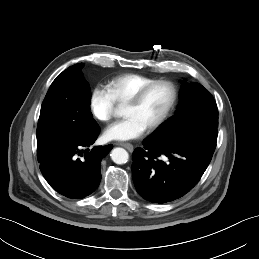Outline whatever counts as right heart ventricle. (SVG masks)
Here are the masks:
<instances>
[{
  "mask_svg": "<svg viewBox=\"0 0 259 259\" xmlns=\"http://www.w3.org/2000/svg\"><path fill=\"white\" fill-rule=\"evenodd\" d=\"M155 79L141 74H124L113 78L107 84L114 101L119 104H125L139 89L151 83Z\"/></svg>",
  "mask_w": 259,
  "mask_h": 259,
  "instance_id": "e07e8e85",
  "label": "right heart ventricle"
}]
</instances>
